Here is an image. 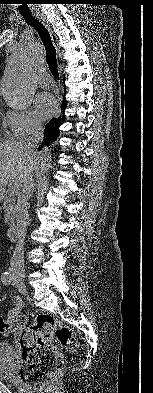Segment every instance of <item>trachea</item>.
I'll use <instances>...</instances> for the list:
<instances>
[{"instance_id": "1", "label": "trachea", "mask_w": 153, "mask_h": 393, "mask_svg": "<svg viewBox=\"0 0 153 393\" xmlns=\"http://www.w3.org/2000/svg\"><path fill=\"white\" fill-rule=\"evenodd\" d=\"M25 22L36 29L46 50V62L49 66L50 72L56 79H59L58 64L56 58V49L52 43L50 34L45 26L30 13L22 14Z\"/></svg>"}]
</instances>
